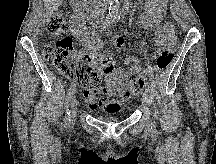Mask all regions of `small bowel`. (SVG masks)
Returning a JSON list of instances; mask_svg holds the SVG:
<instances>
[{
  "label": "small bowel",
  "mask_w": 216,
  "mask_h": 164,
  "mask_svg": "<svg viewBox=\"0 0 216 164\" xmlns=\"http://www.w3.org/2000/svg\"><path fill=\"white\" fill-rule=\"evenodd\" d=\"M167 11V0H146L141 22L155 34V56L167 47L168 33L173 29L170 22H163ZM76 26L72 32L85 47L84 58L90 65L100 67L105 73L106 86L84 90L85 103L91 110L102 109L114 113L120 111L130 99L129 86L135 75L142 71L140 60L130 52L126 54L128 71L117 66L115 54L104 51V41L91 25H84L77 15H72ZM118 50L124 48L121 36L111 38Z\"/></svg>",
  "instance_id": "c3829d8e"
}]
</instances>
